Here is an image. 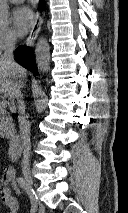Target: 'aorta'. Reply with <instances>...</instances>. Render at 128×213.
<instances>
[{"mask_svg": "<svg viewBox=\"0 0 128 213\" xmlns=\"http://www.w3.org/2000/svg\"><path fill=\"white\" fill-rule=\"evenodd\" d=\"M9 17L7 0H0V26L7 24ZM35 61L38 70L46 72L50 64V47L46 39L40 38L35 48Z\"/></svg>", "mask_w": 128, "mask_h": 213, "instance_id": "762f6f07", "label": "aorta"}]
</instances>
